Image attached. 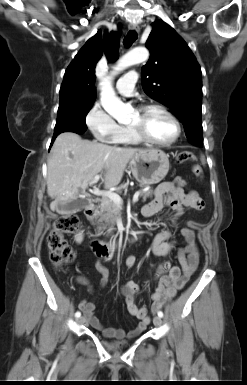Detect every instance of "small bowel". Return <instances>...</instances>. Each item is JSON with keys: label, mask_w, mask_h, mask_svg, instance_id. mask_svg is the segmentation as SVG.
<instances>
[{"label": "small bowel", "mask_w": 247, "mask_h": 385, "mask_svg": "<svg viewBox=\"0 0 247 385\" xmlns=\"http://www.w3.org/2000/svg\"><path fill=\"white\" fill-rule=\"evenodd\" d=\"M185 184L186 182L182 178H177L174 182H164L160 184L156 189L155 198L150 203L144 205L142 209L143 215L149 217L163 208L169 207L175 211L173 218V222H175L183 214L184 209L202 210L205 206L204 200L195 190L185 192L183 190ZM196 225L197 223L195 221H189L187 227L181 230L185 245L177 250V259L180 267L170 266L168 263H164L167 265L166 274L160 271L162 265L159 267L157 273L159 282L152 294L153 312L158 311L166 299L172 298L178 290L184 288L198 268L200 256L194 232ZM170 237V230L163 229L159 231L152 240V252L158 256L169 254L175 248V242L169 241ZM99 257L96 263V269L101 275L100 287L104 288L108 283L109 271L102 262L108 257ZM124 264L126 268L132 269L136 265V258L130 256L126 258ZM79 280L81 283L88 285V281L85 278H80ZM136 291L137 285L133 282H127L121 287V294L124 297L128 312L139 320L136 328L128 334L122 329L104 327L95 316L94 301L83 300L80 302L79 308L83 312L85 321L94 329L102 332L105 337L117 339H123L125 337L134 338L140 335L150 323L148 309L145 306H138L135 302Z\"/></svg>", "instance_id": "1"}]
</instances>
